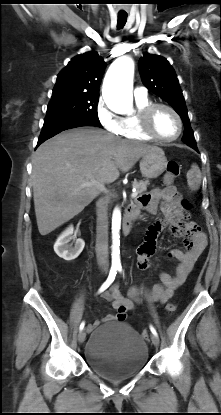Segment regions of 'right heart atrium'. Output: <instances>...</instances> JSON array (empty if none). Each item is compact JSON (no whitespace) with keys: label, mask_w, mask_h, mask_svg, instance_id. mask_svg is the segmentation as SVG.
Here are the masks:
<instances>
[{"label":"right heart atrium","mask_w":221,"mask_h":415,"mask_svg":"<svg viewBox=\"0 0 221 415\" xmlns=\"http://www.w3.org/2000/svg\"><path fill=\"white\" fill-rule=\"evenodd\" d=\"M96 115L100 125L106 131L115 135H120L122 130V117L109 109L102 99L97 103Z\"/></svg>","instance_id":"obj_1"}]
</instances>
